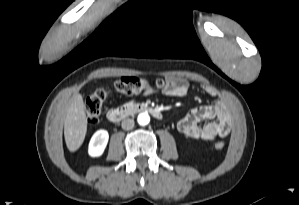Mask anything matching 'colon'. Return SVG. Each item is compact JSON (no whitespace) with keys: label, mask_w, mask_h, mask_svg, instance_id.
I'll return each mask as SVG.
<instances>
[{"label":"colon","mask_w":299,"mask_h":205,"mask_svg":"<svg viewBox=\"0 0 299 205\" xmlns=\"http://www.w3.org/2000/svg\"><path fill=\"white\" fill-rule=\"evenodd\" d=\"M170 84L163 79L146 80L136 76L121 77L115 82V90L124 95L138 94L146 89H165ZM110 92L106 88L95 90L86 100V115L89 125L99 121L101 109ZM215 148L221 150L225 144L222 141L215 143Z\"/></svg>","instance_id":"1"}]
</instances>
